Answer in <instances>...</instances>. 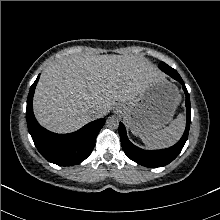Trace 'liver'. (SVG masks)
<instances>
[{
	"instance_id": "obj_1",
	"label": "liver",
	"mask_w": 220,
	"mask_h": 220,
	"mask_svg": "<svg viewBox=\"0 0 220 220\" xmlns=\"http://www.w3.org/2000/svg\"><path fill=\"white\" fill-rule=\"evenodd\" d=\"M160 77L155 65L134 55H70L42 72L34 113L53 132H73L103 117L116 101L133 100ZM92 108H99L96 116L90 114Z\"/></svg>"
}]
</instances>
